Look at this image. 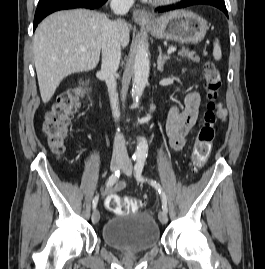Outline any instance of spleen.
<instances>
[{"label": "spleen", "mask_w": 265, "mask_h": 269, "mask_svg": "<svg viewBox=\"0 0 265 269\" xmlns=\"http://www.w3.org/2000/svg\"><path fill=\"white\" fill-rule=\"evenodd\" d=\"M213 57L215 60H220L222 57V52L218 39H216L214 42Z\"/></svg>", "instance_id": "obj_1"}]
</instances>
